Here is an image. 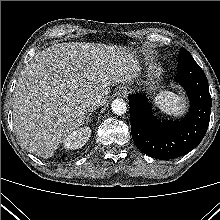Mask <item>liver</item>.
Masks as SVG:
<instances>
[{
	"instance_id": "1",
	"label": "liver",
	"mask_w": 220,
	"mask_h": 220,
	"mask_svg": "<svg viewBox=\"0 0 220 220\" xmlns=\"http://www.w3.org/2000/svg\"><path fill=\"white\" fill-rule=\"evenodd\" d=\"M135 51L102 43H59L26 64L13 95V121L22 145L43 158L84 124L86 101L106 104L110 86L137 77Z\"/></svg>"
}]
</instances>
